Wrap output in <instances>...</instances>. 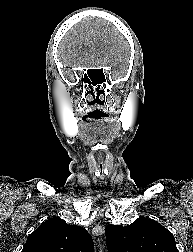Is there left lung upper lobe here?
Returning a JSON list of instances; mask_svg holds the SVG:
<instances>
[{"instance_id": "5c2ea615", "label": "left lung upper lobe", "mask_w": 193, "mask_h": 252, "mask_svg": "<svg viewBox=\"0 0 193 252\" xmlns=\"http://www.w3.org/2000/svg\"><path fill=\"white\" fill-rule=\"evenodd\" d=\"M109 252H179L173 234L157 221L139 218L131 225H107Z\"/></svg>"}]
</instances>
